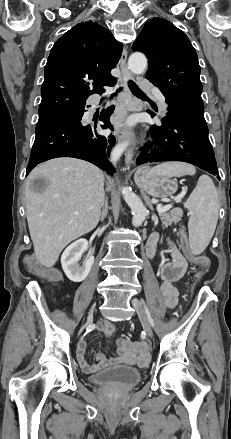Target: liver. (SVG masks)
<instances>
[{
    "instance_id": "obj_1",
    "label": "liver",
    "mask_w": 231,
    "mask_h": 439,
    "mask_svg": "<svg viewBox=\"0 0 231 439\" xmlns=\"http://www.w3.org/2000/svg\"><path fill=\"white\" fill-rule=\"evenodd\" d=\"M37 177L47 181L42 192L32 188ZM103 199V172L87 161L55 158L33 169L26 182L25 203L34 252L41 265L53 267L71 241L97 226Z\"/></svg>"
}]
</instances>
